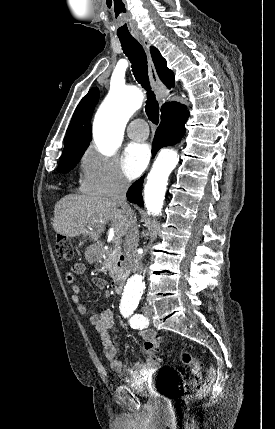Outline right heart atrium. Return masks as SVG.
<instances>
[{"instance_id": "1", "label": "right heart atrium", "mask_w": 275, "mask_h": 429, "mask_svg": "<svg viewBox=\"0 0 275 429\" xmlns=\"http://www.w3.org/2000/svg\"><path fill=\"white\" fill-rule=\"evenodd\" d=\"M81 187L88 194L112 196L125 191L129 180L115 157L107 156L95 148H88L80 159Z\"/></svg>"}]
</instances>
